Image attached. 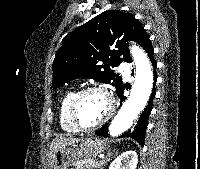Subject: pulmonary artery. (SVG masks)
I'll use <instances>...</instances> for the list:
<instances>
[{
	"mask_svg": "<svg viewBox=\"0 0 200 169\" xmlns=\"http://www.w3.org/2000/svg\"><path fill=\"white\" fill-rule=\"evenodd\" d=\"M120 70H121V72L123 73V75L125 76V77H128L129 76V71L124 67V66H121L120 67Z\"/></svg>",
	"mask_w": 200,
	"mask_h": 169,
	"instance_id": "obj_1",
	"label": "pulmonary artery"
}]
</instances>
